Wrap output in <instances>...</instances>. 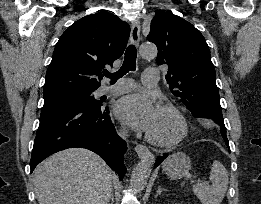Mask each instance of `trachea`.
Wrapping results in <instances>:
<instances>
[{
  "label": "trachea",
  "instance_id": "trachea-1",
  "mask_svg": "<svg viewBox=\"0 0 261 204\" xmlns=\"http://www.w3.org/2000/svg\"><path fill=\"white\" fill-rule=\"evenodd\" d=\"M136 57L137 51L134 45H129L125 52V58L123 65L116 72L111 74L110 72H104V75L111 79V83H115L119 78L124 76L129 71H135L136 69Z\"/></svg>",
  "mask_w": 261,
  "mask_h": 204
}]
</instances>
